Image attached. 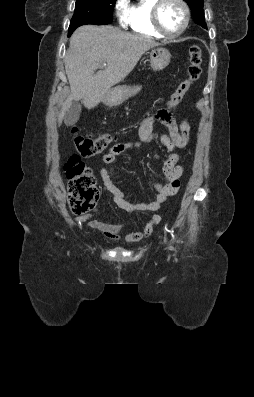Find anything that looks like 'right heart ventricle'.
Here are the masks:
<instances>
[{"label": "right heart ventricle", "instance_id": "obj_1", "mask_svg": "<svg viewBox=\"0 0 254 397\" xmlns=\"http://www.w3.org/2000/svg\"><path fill=\"white\" fill-rule=\"evenodd\" d=\"M156 0H136L130 5L128 25L130 29L143 36L161 38L162 36L154 29L151 12Z\"/></svg>", "mask_w": 254, "mask_h": 397}]
</instances>
